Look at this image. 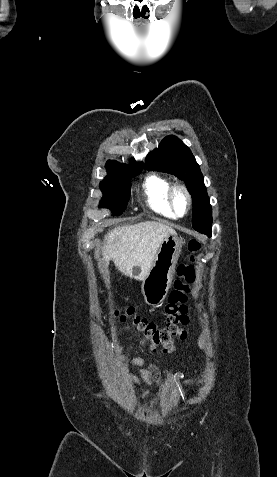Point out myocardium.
<instances>
[{
    "instance_id": "f54148a6",
    "label": "myocardium",
    "mask_w": 277,
    "mask_h": 477,
    "mask_svg": "<svg viewBox=\"0 0 277 477\" xmlns=\"http://www.w3.org/2000/svg\"><path fill=\"white\" fill-rule=\"evenodd\" d=\"M178 192L182 193L185 196L186 202H187L186 209L183 213L178 211L176 207V203H175V196ZM168 203L172 211L177 215V217H183L186 214H188L189 211L191 210V207H192L191 193L184 184L175 183L171 185L168 190Z\"/></svg>"
}]
</instances>
